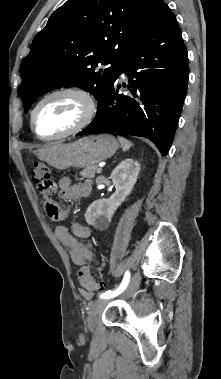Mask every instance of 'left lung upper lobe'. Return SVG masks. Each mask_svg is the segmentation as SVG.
<instances>
[{
  "label": "left lung upper lobe",
  "instance_id": "obj_1",
  "mask_svg": "<svg viewBox=\"0 0 221 379\" xmlns=\"http://www.w3.org/2000/svg\"><path fill=\"white\" fill-rule=\"evenodd\" d=\"M163 0H69L33 39L20 66L26 110L45 92L80 87L99 97L129 50L154 26ZM111 64L108 68L100 65Z\"/></svg>",
  "mask_w": 221,
  "mask_h": 379
}]
</instances>
